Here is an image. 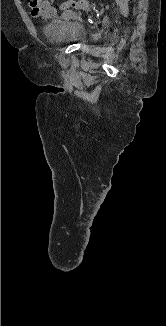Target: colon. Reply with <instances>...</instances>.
Returning <instances> with one entry per match:
<instances>
[{
	"instance_id": "obj_1",
	"label": "colon",
	"mask_w": 166,
	"mask_h": 326,
	"mask_svg": "<svg viewBox=\"0 0 166 326\" xmlns=\"http://www.w3.org/2000/svg\"><path fill=\"white\" fill-rule=\"evenodd\" d=\"M83 7H87V4L84 0H80L79 2H76L74 0H68L60 6V9L62 11H71L74 9H81Z\"/></svg>"
}]
</instances>
